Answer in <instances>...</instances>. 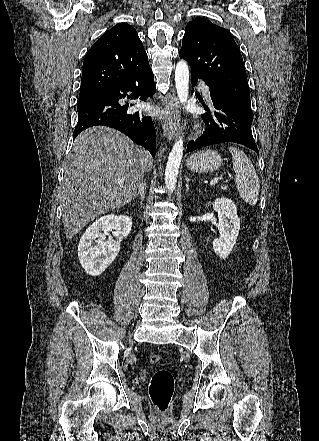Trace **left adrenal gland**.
<instances>
[{
  "label": "left adrenal gland",
  "mask_w": 319,
  "mask_h": 441,
  "mask_svg": "<svg viewBox=\"0 0 319 441\" xmlns=\"http://www.w3.org/2000/svg\"><path fill=\"white\" fill-rule=\"evenodd\" d=\"M185 180H186V193L189 192V182L191 181V179H189L187 176H185ZM194 180L192 179V182Z\"/></svg>",
  "instance_id": "1"
}]
</instances>
